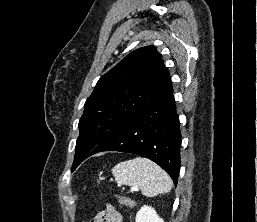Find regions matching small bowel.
Instances as JSON below:
<instances>
[{
	"instance_id": "obj_1",
	"label": "small bowel",
	"mask_w": 257,
	"mask_h": 222,
	"mask_svg": "<svg viewBox=\"0 0 257 222\" xmlns=\"http://www.w3.org/2000/svg\"><path fill=\"white\" fill-rule=\"evenodd\" d=\"M88 222H124L121 213L116 211L112 206L99 212L92 220Z\"/></svg>"
}]
</instances>
